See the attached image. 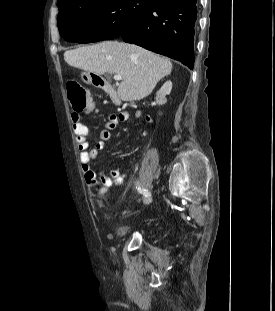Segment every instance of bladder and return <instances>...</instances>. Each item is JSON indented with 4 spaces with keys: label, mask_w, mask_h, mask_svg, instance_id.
I'll use <instances>...</instances> for the list:
<instances>
[{
    "label": "bladder",
    "mask_w": 275,
    "mask_h": 311,
    "mask_svg": "<svg viewBox=\"0 0 275 311\" xmlns=\"http://www.w3.org/2000/svg\"><path fill=\"white\" fill-rule=\"evenodd\" d=\"M130 232V229L125 225H118L113 229V236L115 238H122Z\"/></svg>",
    "instance_id": "bladder-1"
}]
</instances>
